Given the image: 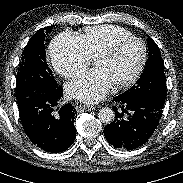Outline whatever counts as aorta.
I'll return each mask as SVG.
<instances>
[{
  "mask_svg": "<svg viewBox=\"0 0 183 183\" xmlns=\"http://www.w3.org/2000/svg\"><path fill=\"white\" fill-rule=\"evenodd\" d=\"M98 118L102 123L109 124L114 120V111L108 107L100 109Z\"/></svg>",
  "mask_w": 183,
  "mask_h": 183,
  "instance_id": "aorta-1",
  "label": "aorta"
}]
</instances>
